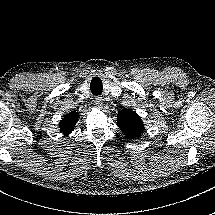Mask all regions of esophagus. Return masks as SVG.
Returning <instances> with one entry per match:
<instances>
[{
	"mask_svg": "<svg viewBox=\"0 0 215 215\" xmlns=\"http://www.w3.org/2000/svg\"><path fill=\"white\" fill-rule=\"evenodd\" d=\"M103 103H104V100L101 97L95 98V100H94V105L96 107H102Z\"/></svg>",
	"mask_w": 215,
	"mask_h": 215,
	"instance_id": "esophagus-1",
	"label": "esophagus"
}]
</instances>
